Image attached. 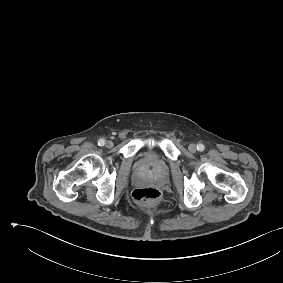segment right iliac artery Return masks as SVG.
<instances>
[{
	"label": "right iliac artery",
	"mask_w": 283,
	"mask_h": 283,
	"mask_svg": "<svg viewBox=\"0 0 283 283\" xmlns=\"http://www.w3.org/2000/svg\"><path fill=\"white\" fill-rule=\"evenodd\" d=\"M98 145L99 146H104L105 145V140L104 139H99L98 140Z\"/></svg>",
	"instance_id": "82829eb1"
}]
</instances>
